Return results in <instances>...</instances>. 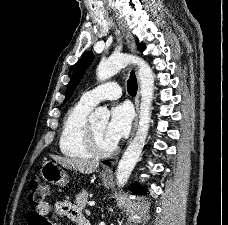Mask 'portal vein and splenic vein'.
<instances>
[{"instance_id":"obj_1","label":"portal vein and splenic vein","mask_w":228,"mask_h":225,"mask_svg":"<svg viewBox=\"0 0 228 225\" xmlns=\"http://www.w3.org/2000/svg\"><path fill=\"white\" fill-rule=\"evenodd\" d=\"M89 205H90V207H93V205H95V203H92V201H91V203H89Z\"/></svg>"}]
</instances>
